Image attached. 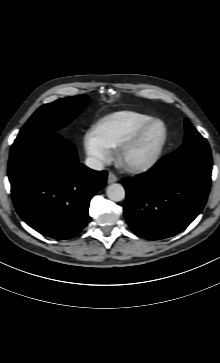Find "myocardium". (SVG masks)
Instances as JSON below:
<instances>
[{
  "label": "myocardium",
  "mask_w": 220,
  "mask_h": 363,
  "mask_svg": "<svg viewBox=\"0 0 220 363\" xmlns=\"http://www.w3.org/2000/svg\"><path fill=\"white\" fill-rule=\"evenodd\" d=\"M157 125L162 127V134L151 153L142 160L129 161L128 154L142 141L146 134ZM167 139L168 129L166 124L162 120L153 119L152 121L140 127L120 144L116 152L117 160L124 168L132 172H142L149 170L159 161L167 143Z\"/></svg>",
  "instance_id": "1"
}]
</instances>
